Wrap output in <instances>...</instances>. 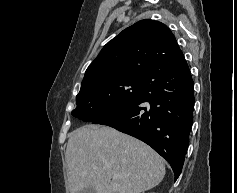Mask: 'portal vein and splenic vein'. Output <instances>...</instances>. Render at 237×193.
I'll list each match as a JSON object with an SVG mask.
<instances>
[{
    "instance_id": "1",
    "label": "portal vein and splenic vein",
    "mask_w": 237,
    "mask_h": 193,
    "mask_svg": "<svg viewBox=\"0 0 237 193\" xmlns=\"http://www.w3.org/2000/svg\"><path fill=\"white\" fill-rule=\"evenodd\" d=\"M115 176H119L117 173L114 174Z\"/></svg>"
}]
</instances>
